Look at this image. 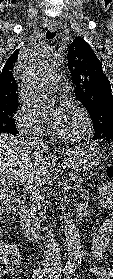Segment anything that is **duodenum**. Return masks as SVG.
Returning <instances> with one entry per match:
<instances>
[{
	"label": "duodenum",
	"mask_w": 113,
	"mask_h": 279,
	"mask_svg": "<svg viewBox=\"0 0 113 279\" xmlns=\"http://www.w3.org/2000/svg\"><path fill=\"white\" fill-rule=\"evenodd\" d=\"M86 212V205L80 203L76 206V215L80 216ZM20 225L24 236L30 240H35L38 238L40 232L39 228L33 224L31 219V212L27 206H22L20 208Z\"/></svg>",
	"instance_id": "1"
}]
</instances>
